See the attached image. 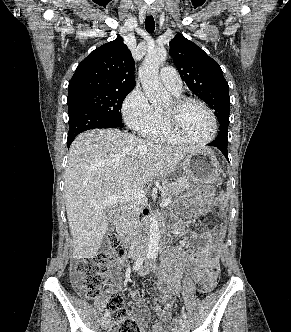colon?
<instances>
[{"instance_id": "5ec220e1", "label": "colon", "mask_w": 291, "mask_h": 332, "mask_svg": "<svg viewBox=\"0 0 291 332\" xmlns=\"http://www.w3.org/2000/svg\"><path fill=\"white\" fill-rule=\"evenodd\" d=\"M110 249L100 251L90 259L76 262L71 269V282L75 289L88 298H97L101 287L107 278L109 264L124 256L123 243L113 234L108 238ZM219 279V267L211 269L209 275L203 282V290L211 292L217 285ZM111 311L113 325L110 332H141L140 325L128 316L125 301L120 294H113L107 303Z\"/></svg>"}]
</instances>
